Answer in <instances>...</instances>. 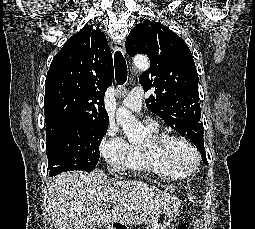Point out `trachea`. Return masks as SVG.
<instances>
[{
    "mask_svg": "<svg viewBox=\"0 0 255 229\" xmlns=\"http://www.w3.org/2000/svg\"><path fill=\"white\" fill-rule=\"evenodd\" d=\"M115 77L118 85H123L127 80V65L121 51L114 54Z\"/></svg>",
    "mask_w": 255,
    "mask_h": 229,
    "instance_id": "1",
    "label": "trachea"
}]
</instances>
